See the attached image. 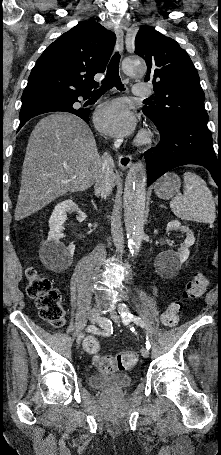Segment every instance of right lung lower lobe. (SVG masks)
Here are the masks:
<instances>
[{
    "label": "right lung lower lobe",
    "mask_w": 221,
    "mask_h": 455,
    "mask_svg": "<svg viewBox=\"0 0 221 455\" xmlns=\"http://www.w3.org/2000/svg\"><path fill=\"white\" fill-rule=\"evenodd\" d=\"M90 95H91V90L82 92L78 95H75L73 98H71L70 100L63 102V103H49V104L37 105V106L23 109L20 111V115H19V118H20L19 129L29 119H31L37 115L43 114V113L55 112V111L73 113V114L79 116L80 118H82L87 123H89V118H88L89 110L88 109H74L72 106H73L74 102H78L79 96H83V97L87 98Z\"/></svg>",
    "instance_id": "right-lung-lower-lobe-1"
}]
</instances>
